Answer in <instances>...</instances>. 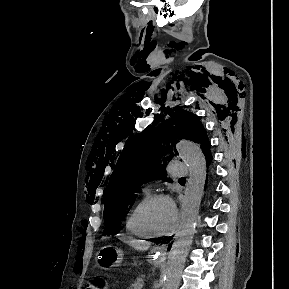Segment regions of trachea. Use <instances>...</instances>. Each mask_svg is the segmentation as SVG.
Here are the masks:
<instances>
[{
  "label": "trachea",
  "mask_w": 289,
  "mask_h": 289,
  "mask_svg": "<svg viewBox=\"0 0 289 289\" xmlns=\"http://www.w3.org/2000/svg\"><path fill=\"white\" fill-rule=\"evenodd\" d=\"M180 180H185V178H181Z\"/></svg>",
  "instance_id": "obj_1"
}]
</instances>
